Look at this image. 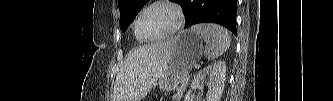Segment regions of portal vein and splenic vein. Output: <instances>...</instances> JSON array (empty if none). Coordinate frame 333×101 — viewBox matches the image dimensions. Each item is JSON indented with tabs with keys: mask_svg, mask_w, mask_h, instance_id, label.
<instances>
[{
	"mask_svg": "<svg viewBox=\"0 0 333 101\" xmlns=\"http://www.w3.org/2000/svg\"><path fill=\"white\" fill-rule=\"evenodd\" d=\"M196 68H199V65H196Z\"/></svg>",
	"mask_w": 333,
	"mask_h": 101,
	"instance_id": "18ae733b",
	"label": "portal vein and splenic vein"
}]
</instances>
